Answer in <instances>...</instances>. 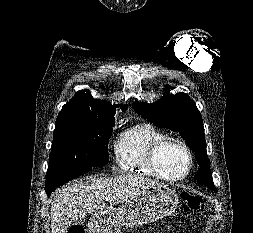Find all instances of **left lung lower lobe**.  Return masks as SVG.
Here are the masks:
<instances>
[{
	"mask_svg": "<svg viewBox=\"0 0 253 233\" xmlns=\"http://www.w3.org/2000/svg\"><path fill=\"white\" fill-rule=\"evenodd\" d=\"M211 190H214L215 192H217L216 188H210Z\"/></svg>",
	"mask_w": 253,
	"mask_h": 233,
	"instance_id": "1",
	"label": "left lung lower lobe"
}]
</instances>
